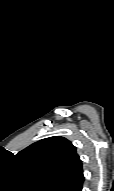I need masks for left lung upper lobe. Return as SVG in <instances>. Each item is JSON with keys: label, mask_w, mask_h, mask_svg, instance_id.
Here are the masks:
<instances>
[{"label": "left lung upper lobe", "mask_w": 114, "mask_h": 191, "mask_svg": "<svg viewBox=\"0 0 114 191\" xmlns=\"http://www.w3.org/2000/svg\"><path fill=\"white\" fill-rule=\"evenodd\" d=\"M16 159L19 170L39 191H68L83 172L76 147L60 136L31 144Z\"/></svg>", "instance_id": "5c2ea615"}]
</instances>
